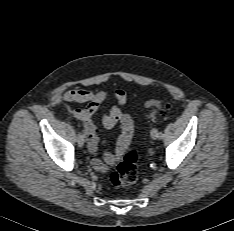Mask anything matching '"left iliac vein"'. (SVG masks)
Listing matches in <instances>:
<instances>
[{"label": "left iliac vein", "mask_w": 234, "mask_h": 231, "mask_svg": "<svg viewBox=\"0 0 234 231\" xmlns=\"http://www.w3.org/2000/svg\"><path fill=\"white\" fill-rule=\"evenodd\" d=\"M151 138L153 139V140H156V139H158L159 137H158V131H157V129H152V131H151Z\"/></svg>", "instance_id": "obj_1"}]
</instances>
